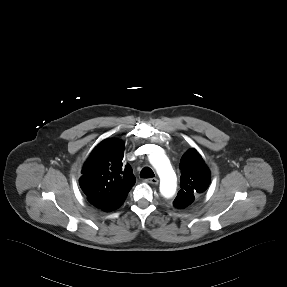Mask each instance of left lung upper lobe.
Returning <instances> with one entry per match:
<instances>
[{
	"instance_id": "obj_1",
	"label": "left lung upper lobe",
	"mask_w": 287,
	"mask_h": 287,
	"mask_svg": "<svg viewBox=\"0 0 287 287\" xmlns=\"http://www.w3.org/2000/svg\"><path fill=\"white\" fill-rule=\"evenodd\" d=\"M181 190L174 200V206L185 208L194 201V197L203 193L210 182V171L195 149L187 150L181 158Z\"/></svg>"
}]
</instances>
